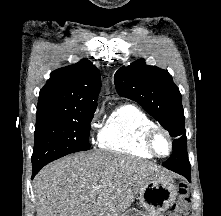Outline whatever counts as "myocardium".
Listing matches in <instances>:
<instances>
[{
	"mask_svg": "<svg viewBox=\"0 0 221 216\" xmlns=\"http://www.w3.org/2000/svg\"><path fill=\"white\" fill-rule=\"evenodd\" d=\"M163 136L167 140L168 143V151L164 154L160 153L156 147V138L157 136ZM143 146L149 151L152 155L157 157H167L173 151V139L170 133L163 127L158 125H153L152 127L145 130L143 134Z\"/></svg>",
	"mask_w": 221,
	"mask_h": 216,
	"instance_id": "f54148a6",
	"label": "myocardium"
}]
</instances>
